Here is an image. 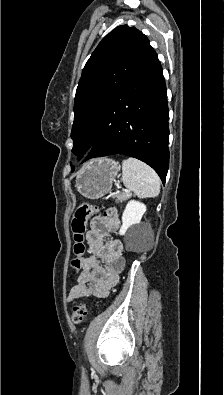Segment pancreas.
<instances>
[{
    "instance_id": "cf45deb5",
    "label": "pancreas",
    "mask_w": 224,
    "mask_h": 395,
    "mask_svg": "<svg viewBox=\"0 0 224 395\" xmlns=\"http://www.w3.org/2000/svg\"><path fill=\"white\" fill-rule=\"evenodd\" d=\"M117 203H122L123 201L127 200L130 197L128 193H117L115 196Z\"/></svg>"
}]
</instances>
